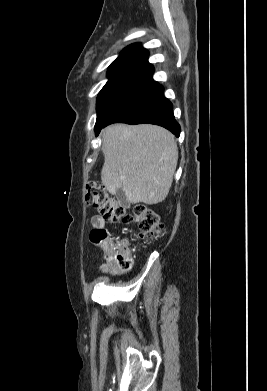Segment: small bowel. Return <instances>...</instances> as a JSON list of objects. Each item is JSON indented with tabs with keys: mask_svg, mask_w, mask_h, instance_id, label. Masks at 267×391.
Returning a JSON list of instances; mask_svg holds the SVG:
<instances>
[{
	"mask_svg": "<svg viewBox=\"0 0 267 391\" xmlns=\"http://www.w3.org/2000/svg\"><path fill=\"white\" fill-rule=\"evenodd\" d=\"M92 224L95 229L97 228H103L104 226V220L101 217L95 216L92 219ZM101 248L104 252L109 253L111 252V247L108 242H104L101 245ZM101 271L103 273H109L111 275H115L118 272V266L110 260H107L101 265Z\"/></svg>",
	"mask_w": 267,
	"mask_h": 391,
	"instance_id": "c3829d8e",
	"label": "small bowel"
}]
</instances>
